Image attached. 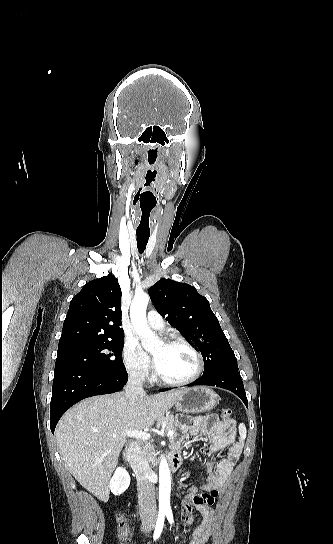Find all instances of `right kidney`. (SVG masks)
<instances>
[{
    "mask_svg": "<svg viewBox=\"0 0 333 544\" xmlns=\"http://www.w3.org/2000/svg\"><path fill=\"white\" fill-rule=\"evenodd\" d=\"M130 485V476L123 467H118L110 480L109 488L114 495L122 494Z\"/></svg>",
    "mask_w": 333,
    "mask_h": 544,
    "instance_id": "right-kidney-1",
    "label": "right kidney"
}]
</instances>
